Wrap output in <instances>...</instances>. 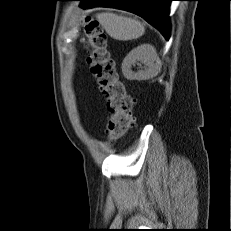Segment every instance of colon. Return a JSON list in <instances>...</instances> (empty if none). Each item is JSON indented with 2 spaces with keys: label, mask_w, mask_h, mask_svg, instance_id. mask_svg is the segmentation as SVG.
<instances>
[{
  "label": "colon",
  "mask_w": 231,
  "mask_h": 231,
  "mask_svg": "<svg viewBox=\"0 0 231 231\" xmlns=\"http://www.w3.org/2000/svg\"><path fill=\"white\" fill-rule=\"evenodd\" d=\"M84 33L90 48L88 63L107 100L110 113L106 129L107 140L114 142L122 138L131 127L133 98L116 71L115 61L107 48V37L99 22L88 21Z\"/></svg>",
  "instance_id": "1"
}]
</instances>
